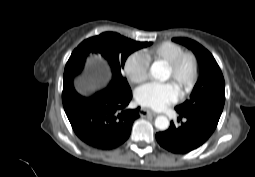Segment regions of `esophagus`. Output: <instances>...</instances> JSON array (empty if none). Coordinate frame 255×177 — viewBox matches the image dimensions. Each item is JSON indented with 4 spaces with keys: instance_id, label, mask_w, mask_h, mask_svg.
Returning a JSON list of instances; mask_svg holds the SVG:
<instances>
[{
    "instance_id": "obj_1",
    "label": "esophagus",
    "mask_w": 255,
    "mask_h": 177,
    "mask_svg": "<svg viewBox=\"0 0 255 177\" xmlns=\"http://www.w3.org/2000/svg\"><path fill=\"white\" fill-rule=\"evenodd\" d=\"M139 114L141 116H154V117L157 116V114L155 112H153L151 110H148V109H145V108H141L139 110Z\"/></svg>"
}]
</instances>
